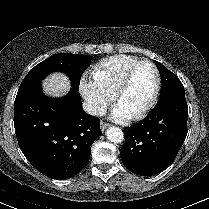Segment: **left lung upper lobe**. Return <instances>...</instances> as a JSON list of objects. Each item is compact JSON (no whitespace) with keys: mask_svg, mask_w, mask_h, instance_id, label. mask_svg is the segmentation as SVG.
Wrapping results in <instances>:
<instances>
[{"mask_svg":"<svg viewBox=\"0 0 209 209\" xmlns=\"http://www.w3.org/2000/svg\"><path fill=\"white\" fill-rule=\"evenodd\" d=\"M155 64L161 76V91L159 98L173 92H184V87L176 75L158 61H155Z\"/></svg>","mask_w":209,"mask_h":209,"instance_id":"1","label":"left lung upper lobe"}]
</instances>
